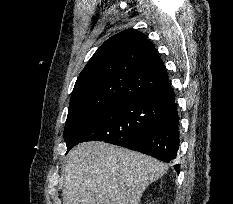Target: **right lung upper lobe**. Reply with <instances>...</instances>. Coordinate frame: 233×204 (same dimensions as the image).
Wrapping results in <instances>:
<instances>
[{"instance_id":"right-lung-upper-lobe-1","label":"right lung upper lobe","mask_w":233,"mask_h":204,"mask_svg":"<svg viewBox=\"0 0 233 204\" xmlns=\"http://www.w3.org/2000/svg\"><path fill=\"white\" fill-rule=\"evenodd\" d=\"M169 87L154 44L136 30L122 31L105 41L80 73L66 125L110 103L153 97Z\"/></svg>"}]
</instances>
